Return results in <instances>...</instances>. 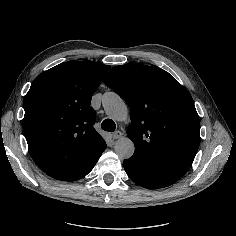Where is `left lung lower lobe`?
I'll use <instances>...</instances> for the list:
<instances>
[{"instance_id": "obj_1", "label": "left lung lower lobe", "mask_w": 236, "mask_h": 236, "mask_svg": "<svg viewBox=\"0 0 236 236\" xmlns=\"http://www.w3.org/2000/svg\"><path fill=\"white\" fill-rule=\"evenodd\" d=\"M123 165L127 175L136 184L144 188H163L179 180L161 168L135 155L124 160Z\"/></svg>"}]
</instances>
